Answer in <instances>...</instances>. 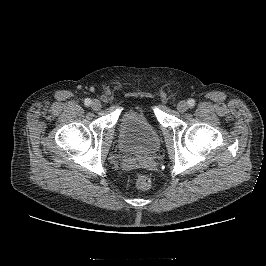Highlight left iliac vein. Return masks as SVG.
I'll use <instances>...</instances> for the list:
<instances>
[{
	"instance_id": "1",
	"label": "left iliac vein",
	"mask_w": 266,
	"mask_h": 266,
	"mask_svg": "<svg viewBox=\"0 0 266 266\" xmlns=\"http://www.w3.org/2000/svg\"><path fill=\"white\" fill-rule=\"evenodd\" d=\"M189 109V104L186 102V101H180L178 104H177V110L179 112H186L187 110Z\"/></svg>"
}]
</instances>
